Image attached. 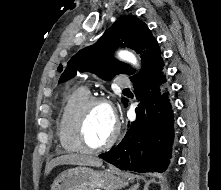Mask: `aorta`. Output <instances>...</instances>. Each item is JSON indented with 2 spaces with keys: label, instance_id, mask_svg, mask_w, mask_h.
Masks as SVG:
<instances>
[{
  "label": "aorta",
  "instance_id": "aorta-1",
  "mask_svg": "<svg viewBox=\"0 0 221 190\" xmlns=\"http://www.w3.org/2000/svg\"><path fill=\"white\" fill-rule=\"evenodd\" d=\"M118 56L122 60L127 61V62L131 63L132 65L138 66L137 59L131 52L122 50V51L118 52Z\"/></svg>",
  "mask_w": 221,
  "mask_h": 190
}]
</instances>
